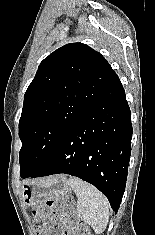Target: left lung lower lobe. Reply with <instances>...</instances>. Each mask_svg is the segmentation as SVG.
Masks as SVG:
<instances>
[{
	"mask_svg": "<svg viewBox=\"0 0 155 235\" xmlns=\"http://www.w3.org/2000/svg\"><path fill=\"white\" fill-rule=\"evenodd\" d=\"M130 108L115 74L48 162L28 177L70 174L98 188L118 211L131 154Z\"/></svg>",
	"mask_w": 155,
	"mask_h": 235,
	"instance_id": "obj_1",
	"label": "left lung lower lobe"
}]
</instances>
